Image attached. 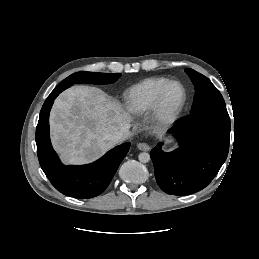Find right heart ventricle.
<instances>
[{
  "mask_svg": "<svg viewBox=\"0 0 259 259\" xmlns=\"http://www.w3.org/2000/svg\"><path fill=\"white\" fill-rule=\"evenodd\" d=\"M169 80L164 77L147 78L124 93L127 110L134 115H144L154 109L160 88Z\"/></svg>",
  "mask_w": 259,
  "mask_h": 259,
  "instance_id": "1",
  "label": "right heart ventricle"
}]
</instances>
